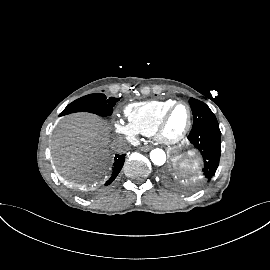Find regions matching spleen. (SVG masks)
Segmentation results:
<instances>
[{
	"instance_id": "obj_1",
	"label": "spleen",
	"mask_w": 270,
	"mask_h": 270,
	"mask_svg": "<svg viewBox=\"0 0 270 270\" xmlns=\"http://www.w3.org/2000/svg\"><path fill=\"white\" fill-rule=\"evenodd\" d=\"M182 165L186 166V161L185 160L182 161Z\"/></svg>"
}]
</instances>
